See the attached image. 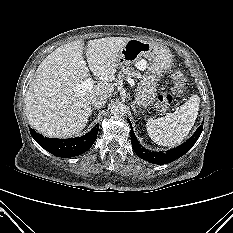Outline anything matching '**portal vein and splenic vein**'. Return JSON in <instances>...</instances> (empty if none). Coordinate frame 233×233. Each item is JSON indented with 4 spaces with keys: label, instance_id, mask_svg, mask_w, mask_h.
Returning a JSON list of instances; mask_svg holds the SVG:
<instances>
[{
    "label": "portal vein and splenic vein",
    "instance_id": "18ae733b",
    "mask_svg": "<svg viewBox=\"0 0 233 233\" xmlns=\"http://www.w3.org/2000/svg\"><path fill=\"white\" fill-rule=\"evenodd\" d=\"M93 86H94V80L92 78H88L81 84L76 85L74 87V90L79 93H85L86 91L91 90Z\"/></svg>",
    "mask_w": 233,
    "mask_h": 233
}]
</instances>
